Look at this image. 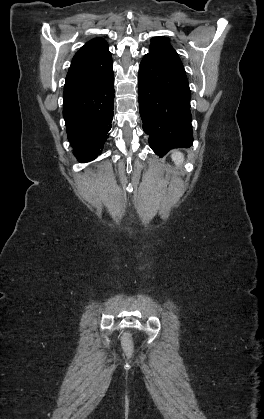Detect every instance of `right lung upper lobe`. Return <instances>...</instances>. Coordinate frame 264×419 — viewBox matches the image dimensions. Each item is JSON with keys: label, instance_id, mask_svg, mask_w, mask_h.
<instances>
[{"label": "right lung upper lobe", "instance_id": "1", "mask_svg": "<svg viewBox=\"0 0 264 419\" xmlns=\"http://www.w3.org/2000/svg\"><path fill=\"white\" fill-rule=\"evenodd\" d=\"M112 64L107 42L102 38L93 39L73 57L64 88L100 82L113 72Z\"/></svg>", "mask_w": 264, "mask_h": 419}]
</instances>
